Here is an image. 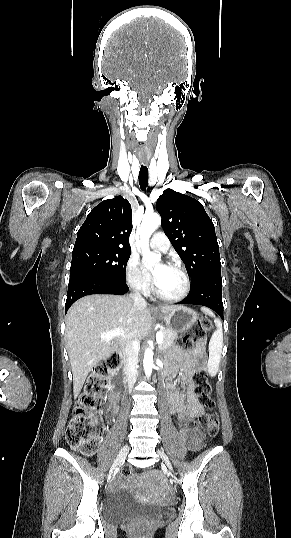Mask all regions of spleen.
<instances>
[{
    "mask_svg": "<svg viewBox=\"0 0 291 538\" xmlns=\"http://www.w3.org/2000/svg\"><path fill=\"white\" fill-rule=\"evenodd\" d=\"M201 310L206 314L212 315V312L208 308H201ZM215 325L217 329L209 341V360L207 364L208 372L212 377L216 376L218 372L223 347L222 324L219 319H215Z\"/></svg>",
    "mask_w": 291,
    "mask_h": 538,
    "instance_id": "1",
    "label": "spleen"
}]
</instances>
